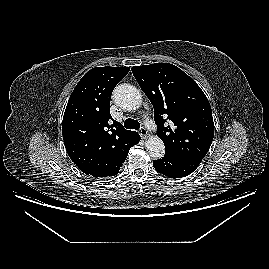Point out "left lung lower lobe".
I'll list each match as a JSON object with an SVG mask.
<instances>
[{
    "label": "left lung lower lobe",
    "mask_w": 269,
    "mask_h": 269,
    "mask_svg": "<svg viewBox=\"0 0 269 269\" xmlns=\"http://www.w3.org/2000/svg\"><path fill=\"white\" fill-rule=\"evenodd\" d=\"M202 160L195 158H180L165 155L162 159L154 160L156 171L172 178L185 177L191 174Z\"/></svg>",
    "instance_id": "left-lung-lower-lobe-1"
}]
</instances>
